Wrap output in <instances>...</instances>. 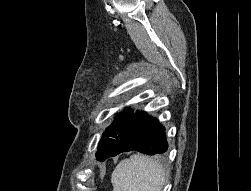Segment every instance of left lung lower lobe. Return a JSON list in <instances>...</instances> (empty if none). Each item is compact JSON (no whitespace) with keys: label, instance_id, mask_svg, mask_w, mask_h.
I'll return each mask as SVG.
<instances>
[{"label":"left lung lower lobe","instance_id":"obj_1","mask_svg":"<svg viewBox=\"0 0 251 191\" xmlns=\"http://www.w3.org/2000/svg\"><path fill=\"white\" fill-rule=\"evenodd\" d=\"M164 131L156 118L144 111L133 112L117 136L109 157L133 150L148 155L163 154L168 149Z\"/></svg>","mask_w":251,"mask_h":191}]
</instances>
